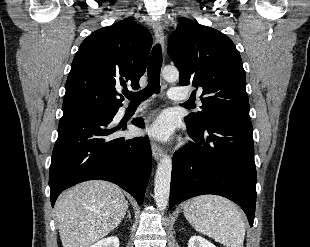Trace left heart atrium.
I'll return each mask as SVG.
<instances>
[{"instance_id":"39dd6f15","label":"left heart atrium","mask_w":310,"mask_h":247,"mask_svg":"<svg viewBox=\"0 0 310 247\" xmlns=\"http://www.w3.org/2000/svg\"><path fill=\"white\" fill-rule=\"evenodd\" d=\"M147 133L159 141L170 140L174 133V121L170 114L162 113L147 129Z\"/></svg>"}]
</instances>
